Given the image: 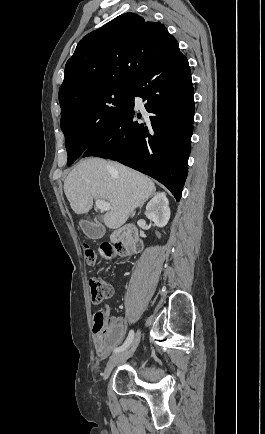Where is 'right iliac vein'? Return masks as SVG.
<instances>
[{
  "label": "right iliac vein",
  "mask_w": 265,
  "mask_h": 434,
  "mask_svg": "<svg viewBox=\"0 0 265 434\" xmlns=\"http://www.w3.org/2000/svg\"><path fill=\"white\" fill-rule=\"evenodd\" d=\"M140 338H141V332L140 330H138L128 348L110 357L103 372L104 380H106L109 377L113 368L118 362L123 361L133 355V353L137 348V345L139 344Z\"/></svg>",
  "instance_id": "63e3f726"
}]
</instances>
